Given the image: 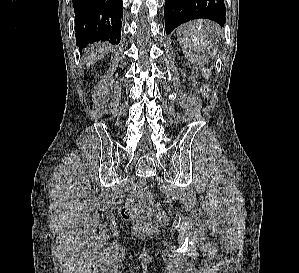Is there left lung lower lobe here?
Here are the masks:
<instances>
[{"instance_id":"1","label":"left lung lower lobe","mask_w":299,"mask_h":273,"mask_svg":"<svg viewBox=\"0 0 299 273\" xmlns=\"http://www.w3.org/2000/svg\"><path fill=\"white\" fill-rule=\"evenodd\" d=\"M223 0H165L166 34L179 25L198 18L213 20L223 26L226 22Z\"/></svg>"}]
</instances>
